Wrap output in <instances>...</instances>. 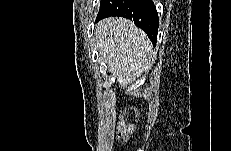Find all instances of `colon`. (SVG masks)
<instances>
[{"label": "colon", "mask_w": 231, "mask_h": 151, "mask_svg": "<svg viewBox=\"0 0 231 151\" xmlns=\"http://www.w3.org/2000/svg\"><path fill=\"white\" fill-rule=\"evenodd\" d=\"M133 132L132 126L126 124L125 122H120L118 127V136L123 142H127L131 137Z\"/></svg>", "instance_id": "obj_1"}]
</instances>
